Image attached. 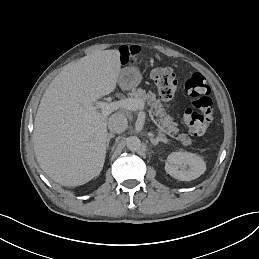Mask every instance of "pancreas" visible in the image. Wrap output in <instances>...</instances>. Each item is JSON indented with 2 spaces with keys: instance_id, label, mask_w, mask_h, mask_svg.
Here are the masks:
<instances>
[{
  "instance_id": "pancreas-1",
  "label": "pancreas",
  "mask_w": 259,
  "mask_h": 259,
  "mask_svg": "<svg viewBox=\"0 0 259 259\" xmlns=\"http://www.w3.org/2000/svg\"><path fill=\"white\" fill-rule=\"evenodd\" d=\"M132 96L136 100H140L142 103L148 105L152 110V115L155 118V123L165 130L169 134H177L179 129L176 128L177 124L174 122L172 116L168 115L166 109L163 108V104L159 99H156V95L152 92L146 94L143 90H135L132 92ZM181 137V136H179Z\"/></svg>"
}]
</instances>
